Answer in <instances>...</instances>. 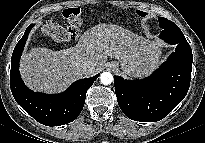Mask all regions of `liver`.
Returning a JSON list of instances; mask_svg holds the SVG:
<instances>
[{
  "label": "liver",
  "instance_id": "1",
  "mask_svg": "<svg viewBox=\"0 0 205 143\" xmlns=\"http://www.w3.org/2000/svg\"><path fill=\"white\" fill-rule=\"evenodd\" d=\"M156 50H160L156 42L121 26L100 23L85 31L74 47L59 51L35 47L25 52L20 61V73L30 89L57 93L82 77L84 62L93 63L97 73L110 57L121 62L127 75L137 71L148 73L159 59Z\"/></svg>",
  "mask_w": 205,
  "mask_h": 143
}]
</instances>
